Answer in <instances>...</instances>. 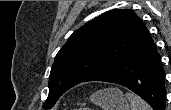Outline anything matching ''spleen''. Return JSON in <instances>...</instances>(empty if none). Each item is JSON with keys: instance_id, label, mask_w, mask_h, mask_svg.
Here are the masks:
<instances>
[{"instance_id": "3e777b00", "label": "spleen", "mask_w": 171, "mask_h": 110, "mask_svg": "<svg viewBox=\"0 0 171 110\" xmlns=\"http://www.w3.org/2000/svg\"><path fill=\"white\" fill-rule=\"evenodd\" d=\"M125 95L131 104V110H152L149 104L136 94L127 92Z\"/></svg>"}]
</instances>
